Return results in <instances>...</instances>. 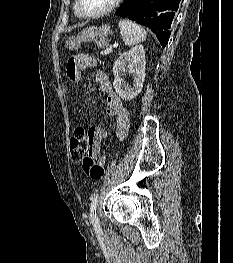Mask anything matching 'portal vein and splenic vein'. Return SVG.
<instances>
[{
    "instance_id": "portal-vein-and-splenic-vein-1",
    "label": "portal vein and splenic vein",
    "mask_w": 233,
    "mask_h": 263,
    "mask_svg": "<svg viewBox=\"0 0 233 263\" xmlns=\"http://www.w3.org/2000/svg\"><path fill=\"white\" fill-rule=\"evenodd\" d=\"M111 52H112V47H109V48L105 49L104 51H101V54L102 55H107V54H109Z\"/></svg>"
}]
</instances>
